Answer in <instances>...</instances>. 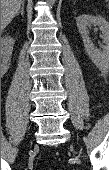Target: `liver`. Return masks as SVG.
<instances>
[{
	"mask_svg": "<svg viewBox=\"0 0 109 170\" xmlns=\"http://www.w3.org/2000/svg\"><path fill=\"white\" fill-rule=\"evenodd\" d=\"M24 0H1V29H4L20 10Z\"/></svg>",
	"mask_w": 109,
	"mask_h": 170,
	"instance_id": "obj_1",
	"label": "liver"
}]
</instances>
